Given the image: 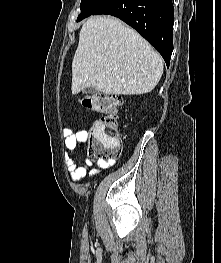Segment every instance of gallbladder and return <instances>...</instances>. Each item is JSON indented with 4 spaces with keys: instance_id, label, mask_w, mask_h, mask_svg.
Segmentation results:
<instances>
[{
    "instance_id": "1",
    "label": "gallbladder",
    "mask_w": 221,
    "mask_h": 263,
    "mask_svg": "<svg viewBox=\"0 0 221 263\" xmlns=\"http://www.w3.org/2000/svg\"><path fill=\"white\" fill-rule=\"evenodd\" d=\"M95 92H96V89L93 87L84 88L82 90V93H84V94H93Z\"/></svg>"
}]
</instances>
